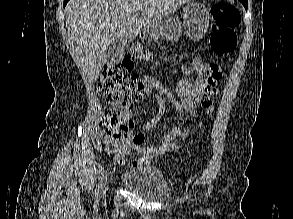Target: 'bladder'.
<instances>
[{
    "mask_svg": "<svg viewBox=\"0 0 293 219\" xmlns=\"http://www.w3.org/2000/svg\"><path fill=\"white\" fill-rule=\"evenodd\" d=\"M123 185L147 202L163 203L171 196V188L163 175L152 166L132 168L122 176Z\"/></svg>",
    "mask_w": 293,
    "mask_h": 219,
    "instance_id": "bladder-1",
    "label": "bladder"
}]
</instances>
